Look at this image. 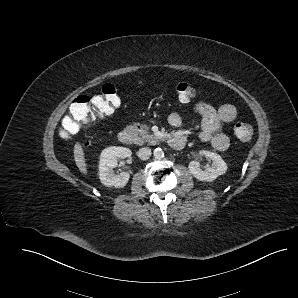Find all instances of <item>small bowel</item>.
<instances>
[{"label": "small bowel", "mask_w": 298, "mask_h": 298, "mask_svg": "<svg viewBox=\"0 0 298 298\" xmlns=\"http://www.w3.org/2000/svg\"><path fill=\"white\" fill-rule=\"evenodd\" d=\"M194 111L202 117L200 139L209 142L217 151H226L230 146L229 137L222 131V125L232 122L237 116L235 106L225 104L219 108L200 102L194 106ZM172 127H179L182 123L181 115L172 112L168 117Z\"/></svg>", "instance_id": "c3829d8e"}]
</instances>
